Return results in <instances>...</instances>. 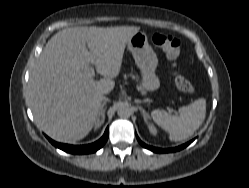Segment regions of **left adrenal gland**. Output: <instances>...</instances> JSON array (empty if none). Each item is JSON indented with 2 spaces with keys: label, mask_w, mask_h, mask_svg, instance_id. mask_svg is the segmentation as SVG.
I'll return each mask as SVG.
<instances>
[{
  "label": "left adrenal gland",
  "mask_w": 249,
  "mask_h": 188,
  "mask_svg": "<svg viewBox=\"0 0 249 188\" xmlns=\"http://www.w3.org/2000/svg\"><path fill=\"white\" fill-rule=\"evenodd\" d=\"M138 108L142 112V115L144 117V121L147 123V120L150 118L148 113L141 106H139Z\"/></svg>",
  "instance_id": "left-adrenal-gland-1"
}]
</instances>
